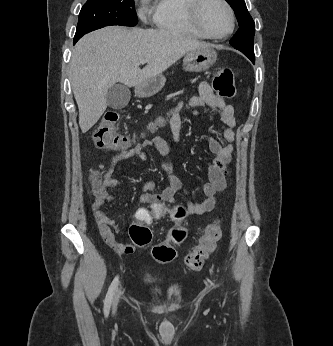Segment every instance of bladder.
<instances>
[{
	"instance_id": "1",
	"label": "bladder",
	"mask_w": 333,
	"mask_h": 346,
	"mask_svg": "<svg viewBox=\"0 0 333 346\" xmlns=\"http://www.w3.org/2000/svg\"><path fill=\"white\" fill-rule=\"evenodd\" d=\"M143 283L146 286H150L154 283V279L152 277V275L149 272H145L143 275Z\"/></svg>"
}]
</instances>
